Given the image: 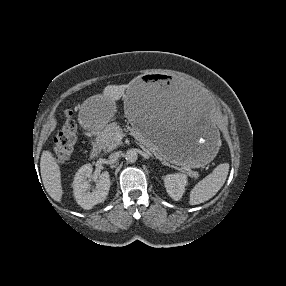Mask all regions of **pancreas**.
<instances>
[{"instance_id": "obj_1", "label": "pancreas", "mask_w": 286, "mask_h": 286, "mask_svg": "<svg viewBox=\"0 0 286 286\" xmlns=\"http://www.w3.org/2000/svg\"><path fill=\"white\" fill-rule=\"evenodd\" d=\"M124 132H129L137 141L145 145L148 150L153 153V155L162 161L163 164L170 165L168 160L156 151L153 143L147 139L141 132L128 127L122 129L118 122H112L107 125L101 132L98 133L95 143L93 144L99 150H104L105 152L112 151L122 144L121 140L117 137L118 134H123ZM191 178L197 179L199 177L198 172L192 170L188 171Z\"/></svg>"}]
</instances>
